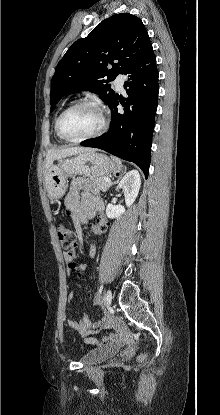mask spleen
Masks as SVG:
<instances>
[{
	"label": "spleen",
	"mask_w": 220,
	"mask_h": 415,
	"mask_svg": "<svg viewBox=\"0 0 220 415\" xmlns=\"http://www.w3.org/2000/svg\"><path fill=\"white\" fill-rule=\"evenodd\" d=\"M112 160L120 167L122 166V162L119 158L111 156Z\"/></svg>",
	"instance_id": "3e777b00"
}]
</instances>
